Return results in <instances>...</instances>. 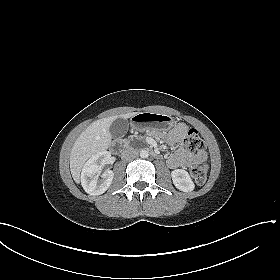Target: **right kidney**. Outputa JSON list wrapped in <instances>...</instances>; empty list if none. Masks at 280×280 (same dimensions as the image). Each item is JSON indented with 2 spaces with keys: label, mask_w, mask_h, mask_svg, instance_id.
<instances>
[{
  "label": "right kidney",
  "mask_w": 280,
  "mask_h": 280,
  "mask_svg": "<svg viewBox=\"0 0 280 280\" xmlns=\"http://www.w3.org/2000/svg\"><path fill=\"white\" fill-rule=\"evenodd\" d=\"M111 154L108 151H100L93 155L83 166L81 173V184L86 193L96 196L103 194L111 185L114 173L107 170L98 180L102 165L108 163Z\"/></svg>",
  "instance_id": "1"
}]
</instances>
